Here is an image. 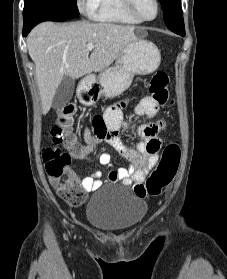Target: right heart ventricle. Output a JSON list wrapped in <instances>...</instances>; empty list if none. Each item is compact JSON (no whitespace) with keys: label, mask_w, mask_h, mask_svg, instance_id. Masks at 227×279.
Segmentation results:
<instances>
[{"label":"right heart ventricle","mask_w":227,"mask_h":279,"mask_svg":"<svg viewBox=\"0 0 227 279\" xmlns=\"http://www.w3.org/2000/svg\"><path fill=\"white\" fill-rule=\"evenodd\" d=\"M88 12L95 21L121 24L140 23V20L131 14L124 0H90Z\"/></svg>","instance_id":"1"}]
</instances>
